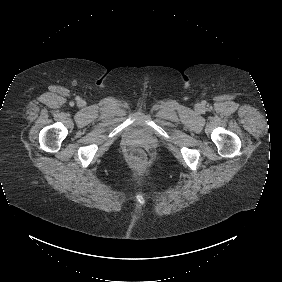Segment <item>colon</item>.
Listing matches in <instances>:
<instances>
[{
    "label": "colon",
    "mask_w": 282,
    "mask_h": 282,
    "mask_svg": "<svg viewBox=\"0 0 282 282\" xmlns=\"http://www.w3.org/2000/svg\"><path fill=\"white\" fill-rule=\"evenodd\" d=\"M130 160L136 166H143L149 160V153L143 147H136L130 153Z\"/></svg>",
    "instance_id": "obj_1"
}]
</instances>
